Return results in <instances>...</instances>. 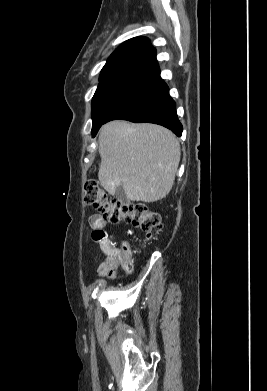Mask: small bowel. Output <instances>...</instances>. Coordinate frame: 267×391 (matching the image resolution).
<instances>
[{
  "instance_id": "small-bowel-1",
  "label": "small bowel",
  "mask_w": 267,
  "mask_h": 391,
  "mask_svg": "<svg viewBox=\"0 0 267 391\" xmlns=\"http://www.w3.org/2000/svg\"><path fill=\"white\" fill-rule=\"evenodd\" d=\"M89 224L93 230H100L106 227V221L99 215H92L89 218ZM116 239L115 235H111L106 239L100 241L99 246L102 253L105 255L104 261L98 266V273L100 276L114 278L118 270L117 255L121 253L122 249L113 246V241ZM129 250V249H128Z\"/></svg>"
}]
</instances>
